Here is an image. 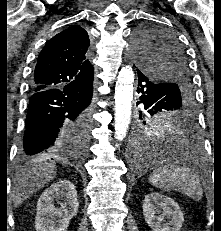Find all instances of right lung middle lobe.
<instances>
[{"instance_id": "dd1d6c3e", "label": "right lung middle lobe", "mask_w": 221, "mask_h": 231, "mask_svg": "<svg viewBox=\"0 0 221 231\" xmlns=\"http://www.w3.org/2000/svg\"><path fill=\"white\" fill-rule=\"evenodd\" d=\"M89 127L90 111L72 125V130L78 139H80L81 141H85L87 144L89 141Z\"/></svg>"}]
</instances>
